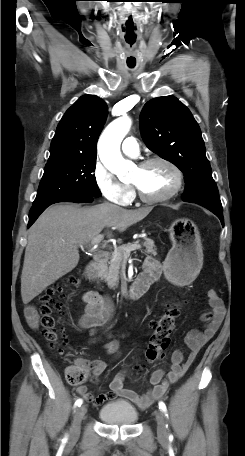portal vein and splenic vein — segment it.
Masks as SVG:
<instances>
[{
  "label": "portal vein and splenic vein",
  "instance_id": "portal-vein-and-splenic-vein-1",
  "mask_svg": "<svg viewBox=\"0 0 245 456\" xmlns=\"http://www.w3.org/2000/svg\"><path fill=\"white\" fill-rule=\"evenodd\" d=\"M103 238H104V235L99 234V235H97L96 237H94L92 239V241H91L92 250L96 249V247L101 243ZM137 249H141V245L140 244H133L132 246H130L128 248H124L126 256H129L131 251H134V250H137Z\"/></svg>",
  "mask_w": 245,
  "mask_h": 456
}]
</instances>
